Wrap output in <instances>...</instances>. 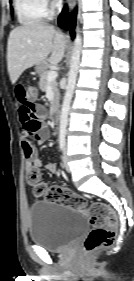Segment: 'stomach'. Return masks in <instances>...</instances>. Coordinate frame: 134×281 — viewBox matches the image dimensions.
Masks as SVG:
<instances>
[{
    "instance_id": "0dacf381",
    "label": "stomach",
    "mask_w": 134,
    "mask_h": 281,
    "mask_svg": "<svg viewBox=\"0 0 134 281\" xmlns=\"http://www.w3.org/2000/svg\"><path fill=\"white\" fill-rule=\"evenodd\" d=\"M44 69H46L45 64L36 65V72L41 73Z\"/></svg>"
}]
</instances>
